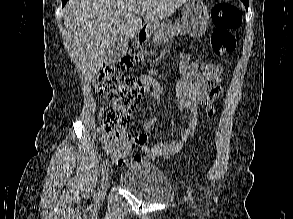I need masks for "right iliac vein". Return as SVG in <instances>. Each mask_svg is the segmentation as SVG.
<instances>
[{
    "instance_id": "obj_1",
    "label": "right iliac vein",
    "mask_w": 293,
    "mask_h": 219,
    "mask_svg": "<svg viewBox=\"0 0 293 219\" xmlns=\"http://www.w3.org/2000/svg\"><path fill=\"white\" fill-rule=\"evenodd\" d=\"M110 178V172L107 170L102 177L101 186H100V194H104L107 190L108 183Z\"/></svg>"
}]
</instances>
